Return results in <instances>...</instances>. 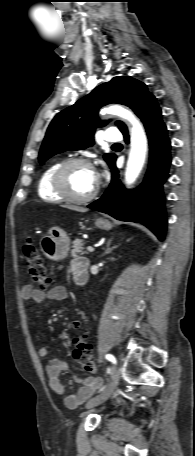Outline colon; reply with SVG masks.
Here are the masks:
<instances>
[{
	"mask_svg": "<svg viewBox=\"0 0 195 456\" xmlns=\"http://www.w3.org/2000/svg\"><path fill=\"white\" fill-rule=\"evenodd\" d=\"M23 253L29 274L34 283L40 290L45 291L50 286V278L47 267L41 253L31 242H26L23 245ZM75 327L79 323H74ZM73 358L79 363L85 372L93 373L96 371V365L93 359L92 345L87 340L86 334H81L74 338Z\"/></svg>",
	"mask_w": 195,
	"mask_h": 456,
	"instance_id": "1",
	"label": "colon"
}]
</instances>
